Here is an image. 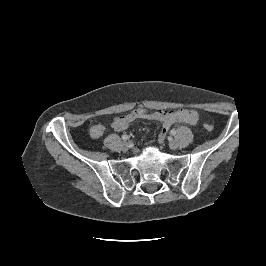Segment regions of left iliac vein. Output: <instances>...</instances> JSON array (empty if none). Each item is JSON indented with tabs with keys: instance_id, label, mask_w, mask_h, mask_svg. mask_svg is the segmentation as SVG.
Here are the masks:
<instances>
[{
	"instance_id": "left-iliac-vein-1",
	"label": "left iliac vein",
	"mask_w": 266,
	"mask_h": 266,
	"mask_svg": "<svg viewBox=\"0 0 266 266\" xmlns=\"http://www.w3.org/2000/svg\"><path fill=\"white\" fill-rule=\"evenodd\" d=\"M169 147L172 149V150H176L178 148V143L175 141V140H171L169 142Z\"/></svg>"
}]
</instances>
